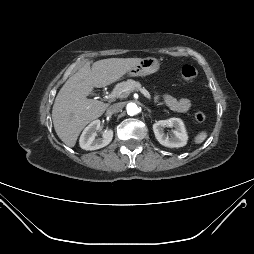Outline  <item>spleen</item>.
I'll use <instances>...</instances> for the list:
<instances>
[{
    "mask_svg": "<svg viewBox=\"0 0 254 254\" xmlns=\"http://www.w3.org/2000/svg\"><path fill=\"white\" fill-rule=\"evenodd\" d=\"M207 138V132L206 131H201L194 139V142L196 144H201L204 142Z\"/></svg>",
    "mask_w": 254,
    "mask_h": 254,
    "instance_id": "obj_1",
    "label": "spleen"
}]
</instances>
